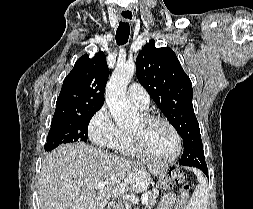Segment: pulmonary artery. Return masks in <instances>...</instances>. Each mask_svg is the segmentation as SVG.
Returning <instances> with one entry per match:
<instances>
[{"instance_id":"1","label":"pulmonary artery","mask_w":253,"mask_h":209,"mask_svg":"<svg viewBox=\"0 0 253 209\" xmlns=\"http://www.w3.org/2000/svg\"><path fill=\"white\" fill-rule=\"evenodd\" d=\"M127 93L129 99L141 109H146L149 106V95L141 85L137 83L131 84Z\"/></svg>"}]
</instances>
